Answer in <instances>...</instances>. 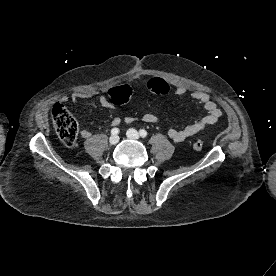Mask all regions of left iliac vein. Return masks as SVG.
Here are the masks:
<instances>
[{
	"label": "left iliac vein",
	"mask_w": 276,
	"mask_h": 276,
	"mask_svg": "<svg viewBox=\"0 0 276 276\" xmlns=\"http://www.w3.org/2000/svg\"><path fill=\"white\" fill-rule=\"evenodd\" d=\"M127 137L133 140H138L140 138L139 133L133 128L127 131Z\"/></svg>",
	"instance_id": "left-iliac-vein-1"
}]
</instances>
